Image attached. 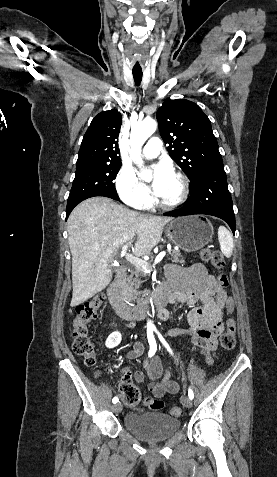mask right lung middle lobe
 Listing matches in <instances>:
<instances>
[{"instance_id":"1","label":"right lung middle lobe","mask_w":277,"mask_h":477,"mask_svg":"<svg viewBox=\"0 0 277 477\" xmlns=\"http://www.w3.org/2000/svg\"><path fill=\"white\" fill-rule=\"evenodd\" d=\"M120 167L121 163L88 165L76 168L66 212H71L77 204L90 197L119 198L113 180L116 178Z\"/></svg>"}]
</instances>
